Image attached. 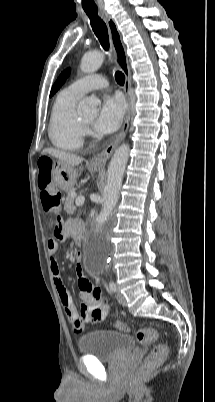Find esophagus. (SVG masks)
<instances>
[{
    "label": "esophagus",
    "instance_id": "esophagus-1",
    "mask_svg": "<svg viewBox=\"0 0 215 402\" xmlns=\"http://www.w3.org/2000/svg\"><path fill=\"white\" fill-rule=\"evenodd\" d=\"M100 14L102 18L105 20L109 30L115 61L125 76L124 91L127 100V113L118 136L104 150L94 155L90 160V165L96 168H102L105 166L107 160L111 157L116 147L124 139L126 132L129 128V119L131 114V101H130L131 75L125 45L122 41V37L117 27V24L114 21V19L110 16V14L105 10H100Z\"/></svg>",
    "mask_w": 215,
    "mask_h": 402
}]
</instances>
